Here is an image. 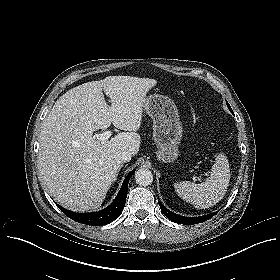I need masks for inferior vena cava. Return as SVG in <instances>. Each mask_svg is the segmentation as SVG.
Returning <instances> with one entry per match:
<instances>
[{"label": "inferior vena cava", "mask_w": 280, "mask_h": 280, "mask_svg": "<svg viewBox=\"0 0 280 280\" xmlns=\"http://www.w3.org/2000/svg\"><path fill=\"white\" fill-rule=\"evenodd\" d=\"M131 158H132V154L128 151H124L120 155V160H121L122 163L123 162H129L131 160Z\"/></svg>", "instance_id": "1"}]
</instances>
